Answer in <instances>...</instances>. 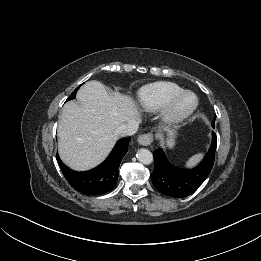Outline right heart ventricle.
I'll return each instance as SVG.
<instances>
[{
	"instance_id": "right-heart-ventricle-1",
	"label": "right heart ventricle",
	"mask_w": 261,
	"mask_h": 261,
	"mask_svg": "<svg viewBox=\"0 0 261 261\" xmlns=\"http://www.w3.org/2000/svg\"><path fill=\"white\" fill-rule=\"evenodd\" d=\"M182 91L183 88L173 82H155L140 89L138 102L143 110L157 112Z\"/></svg>"
}]
</instances>
